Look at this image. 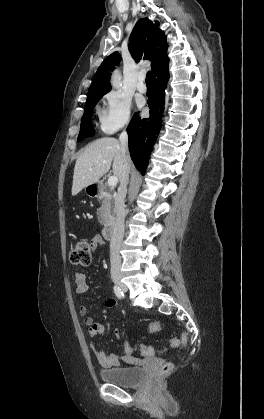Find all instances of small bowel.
<instances>
[{"instance_id":"c3829d8e","label":"small bowel","mask_w":264,"mask_h":419,"mask_svg":"<svg viewBox=\"0 0 264 419\" xmlns=\"http://www.w3.org/2000/svg\"><path fill=\"white\" fill-rule=\"evenodd\" d=\"M104 244H105V240L100 235H95L91 240V247L93 250H96L99 246H102ZM74 279H75L76 292L79 294L85 293L88 290V283H87L86 275L81 271H76L74 274ZM106 307L108 309L115 308L116 307L115 301L108 300L106 302ZM79 314L83 317V321L85 325L88 326V332L91 338H95L102 334L103 325L96 322L93 319V317L88 315V308L86 306L81 305L79 307ZM157 324H158L157 332H159L161 330V326L159 323ZM150 330L153 332L151 325H150ZM113 335L117 339L120 338V331L118 329H115L113 332ZM92 348L99 364L102 367L111 368V367L119 366L121 364L120 357L118 355L116 354L108 355L105 352L99 349H96L93 345H92ZM123 350L125 353L124 357L126 359H129L134 351V348L129 342H125L123 346ZM139 351L143 356H146V357H153L156 354V349L151 346L141 345L139 347Z\"/></svg>"}]
</instances>
